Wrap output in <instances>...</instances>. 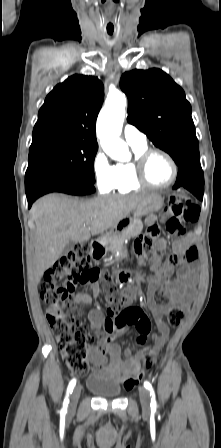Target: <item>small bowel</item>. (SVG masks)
I'll list each match as a JSON object with an SVG mask.
<instances>
[{
	"label": "small bowel",
	"instance_id": "small-bowel-1",
	"mask_svg": "<svg viewBox=\"0 0 221 448\" xmlns=\"http://www.w3.org/2000/svg\"><path fill=\"white\" fill-rule=\"evenodd\" d=\"M148 223L151 226L148 238H139L136 242V249L141 250L146 246L147 239L150 240L152 247L151 256L155 260V264L151 268V276L148 281L146 304L155 318L159 334L152 337V345L144 351L133 355L131 349H125L123 359H121L120 347L115 341V336L107 335L97 344L92 345L89 350V358L93 366V370L98 373H108L113 380L121 383L127 376L137 369L139 363L147 355L155 354L164 345L169 337V328L164 321V315L173 308H179L186 312L191 305L194 288L197 281V272L192 264L179 260L180 253L190 244V239L183 236L174 243V254L169 256L165 261H160L157 252L164 250L166 247V239L156 235V229L153 226L154 218ZM179 266L178 280H171V275L175 268ZM93 296L96 297L100 293V287L97 282L92 284ZM162 292L167 298L166 305H157L154 300L156 292ZM135 296L133 288H127L122 291L118 297L120 308L116 304L110 302L106 316L99 309H92L88 314V320L91 328L96 333H101L103 327L108 321L117 324L115 332L116 336H121L130 324L125 323L123 315L124 309L132 306ZM93 297L87 293H78L73 297L72 305L86 304L91 305ZM55 311L54 308L47 309V315ZM106 330V328H105ZM111 333L112 331H107Z\"/></svg>",
	"mask_w": 221,
	"mask_h": 448
}]
</instances>
